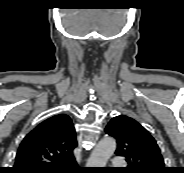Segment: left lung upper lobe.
Here are the masks:
<instances>
[{
	"label": "left lung upper lobe",
	"mask_w": 184,
	"mask_h": 173,
	"mask_svg": "<svg viewBox=\"0 0 184 173\" xmlns=\"http://www.w3.org/2000/svg\"><path fill=\"white\" fill-rule=\"evenodd\" d=\"M105 132L117 140L116 155L128 162L125 173L167 172L155 139L134 119L116 116L110 120Z\"/></svg>",
	"instance_id": "obj_1"
}]
</instances>
